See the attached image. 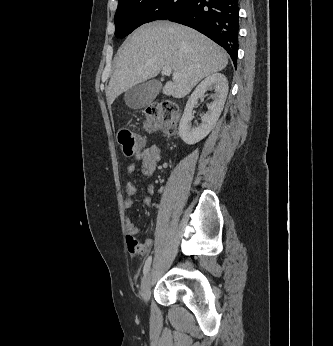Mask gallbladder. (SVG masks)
Listing matches in <instances>:
<instances>
[{
    "mask_svg": "<svg viewBox=\"0 0 333 346\" xmlns=\"http://www.w3.org/2000/svg\"><path fill=\"white\" fill-rule=\"evenodd\" d=\"M161 88L162 84L156 80L137 84L125 92V103L131 109H142L157 97Z\"/></svg>",
    "mask_w": 333,
    "mask_h": 346,
    "instance_id": "gallbladder-1",
    "label": "gallbladder"
}]
</instances>
